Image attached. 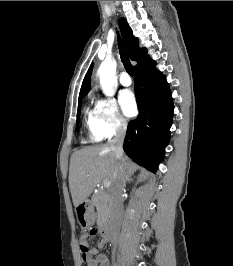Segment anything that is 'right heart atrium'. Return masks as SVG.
Instances as JSON below:
<instances>
[{"mask_svg": "<svg viewBox=\"0 0 233 266\" xmlns=\"http://www.w3.org/2000/svg\"><path fill=\"white\" fill-rule=\"evenodd\" d=\"M96 112L94 129L102 138H112L126 131L127 119L121 114L114 99L99 100L96 104Z\"/></svg>", "mask_w": 233, "mask_h": 266, "instance_id": "right-heart-atrium-1", "label": "right heart atrium"}]
</instances>
